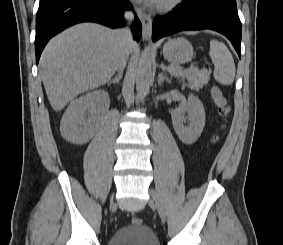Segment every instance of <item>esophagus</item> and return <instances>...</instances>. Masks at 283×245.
<instances>
[{
  "label": "esophagus",
  "mask_w": 283,
  "mask_h": 245,
  "mask_svg": "<svg viewBox=\"0 0 283 245\" xmlns=\"http://www.w3.org/2000/svg\"><path fill=\"white\" fill-rule=\"evenodd\" d=\"M137 15L142 23V37L143 39H151L152 19L150 15L142 11L140 8H136Z\"/></svg>",
  "instance_id": "34e87169"
}]
</instances>
